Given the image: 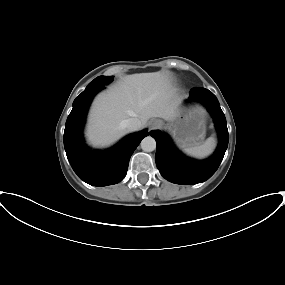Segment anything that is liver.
<instances>
[{"label": "liver", "instance_id": "liver-1", "mask_svg": "<svg viewBox=\"0 0 285 285\" xmlns=\"http://www.w3.org/2000/svg\"><path fill=\"white\" fill-rule=\"evenodd\" d=\"M179 105L180 99L168 74L127 75L95 98L88 120L87 139L95 147L108 146L128 132L122 126L124 120L137 118L141 127L152 117L169 121L178 115Z\"/></svg>", "mask_w": 285, "mask_h": 285}]
</instances>
